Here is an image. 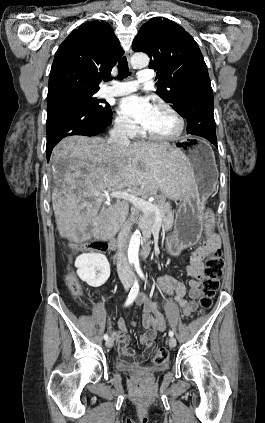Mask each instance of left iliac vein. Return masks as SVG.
<instances>
[{
	"label": "left iliac vein",
	"mask_w": 265,
	"mask_h": 423,
	"mask_svg": "<svg viewBox=\"0 0 265 423\" xmlns=\"http://www.w3.org/2000/svg\"><path fill=\"white\" fill-rule=\"evenodd\" d=\"M176 339L174 337H170L168 340V344L171 348H174L176 346Z\"/></svg>",
	"instance_id": "4c4485c4"
}]
</instances>
